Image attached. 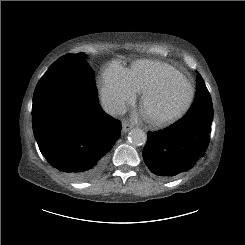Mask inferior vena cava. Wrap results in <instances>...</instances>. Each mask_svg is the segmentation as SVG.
Returning <instances> with one entry per match:
<instances>
[{
	"instance_id": "inferior-vena-cava-1",
	"label": "inferior vena cava",
	"mask_w": 245,
	"mask_h": 245,
	"mask_svg": "<svg viewBox=\"0 0 245 245\" xmlns=\"http://www.w3.org/2000/svg\"><path fill=\"white\" fill-rule=\"evenodd\" d=\"M103 110L110 115H123L126 113V105L118 99H103L101 101Z\"/></svg>"
}]
</instances>
